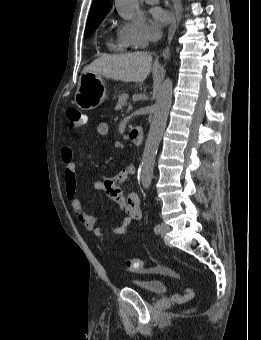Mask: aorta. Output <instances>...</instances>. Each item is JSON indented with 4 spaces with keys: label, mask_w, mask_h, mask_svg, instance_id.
I'll return each instance as SVG.
<instances>
[{
    "label": "aorta",
    "mask_w": 261,
    "mask_h": 340,
    "mask_svg": "<svg viewBox=\"0 0 261 340\" xmlns=\"http://www.w3.org/2000/svg\"><path fill=\"white\" fill-rule=\"evenodd\" d=\"M119 15L131 19L138 9V0H115ZM173 85L169 78L161 84L153 107V118L141 163V182L145 189L151 185L157 150L165 130L169 110L172 104Z\"/></svg>",
    "instance_id": "obj_1"
}]
</instances>
